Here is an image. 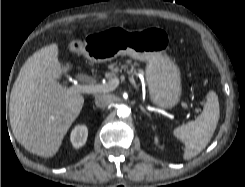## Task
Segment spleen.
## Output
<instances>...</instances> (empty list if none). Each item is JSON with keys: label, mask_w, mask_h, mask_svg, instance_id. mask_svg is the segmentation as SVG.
I'll return each instance as SVG.
<instances>
[{"label": "spleen", "mask_w": 245, "mask_h": 187, "mask_svg": "<svg viewBox=\"0 0 245 187\" xmlns=\"http://www.w3.org/2000/svg\"><path fill=\"white\" fill-rule=\"evenodd\" d=\"M220 116L218 96L214 91L207 94L202 114L173 130V135L185 144L183 158L189 160L197 156L209 143Z\"/></svg>", "instance_id": "obj_1"}]
</instances>
